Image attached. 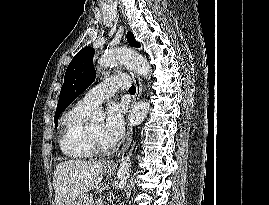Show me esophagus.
Listing matches in <instances>:
<instances>
[{
	"mask_svg": "<svg viewBox=\"0 0 269 205\" xmlns=\"http://www.w3.org/2000/svg\"><path fill=\"white\" fill-rule=\"evenodd\" d=\"M129 75L131 76L135 87H136V93L133 97V101H132V106L139 100L141 94H142V82L141 79L139 77V75L135 74L132 71H128ZM132 134H133V127L132 125L128 122L127 124V132H126V140L125 143L122 147V150L120 151L119 155L123 152H125L127 150V148L129 147L131 140H132ZM110 165H114V162H110Z\"/></svg>",
	"mask_w": 269,
	"mask_h": 205,
	"instance_id": "obj_1",
	"label": "esophagus"
}]
</instances>
